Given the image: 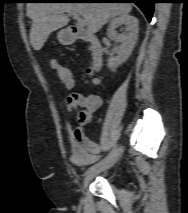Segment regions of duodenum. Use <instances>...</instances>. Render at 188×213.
<instances>
[{
  "label": "duodenum",
  "mask_w": 188,
  "mask_h": 213,
  "mask_svg": "<svg viewBox=\"0 0 188 213\" xmlns=\"http://www.w3.org/2000/svg\"><path fill=\"white\" fill-rule=\"evenodd\" d=\"M70 32V43L77 41H88L91 44V66L94 70H99L103 64V47L97 36L91 34L86 29L72 26Z\"/></svg>",
  "instance_id": "410a0bca"
}]
</instances>
